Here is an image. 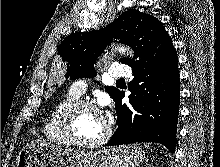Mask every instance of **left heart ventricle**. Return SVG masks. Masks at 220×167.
<instances>
[{
  "label": "left heart ventricle",
  "instance_id": "1",
  "mask_svg": "<svg viewBox=\"0 0 220 167\" xmlns=\"http://www.w3.org/2000/svg\"><path fill=\"white\" fill-rule=\"evenodd\" d=\"M103 115L89 108H82L75 114L72 131L76 138L83 141L98 139L105 130Z\"/></svg>",
  "mask_w": 220,
  "mask_h": 167
}]
</instances>
